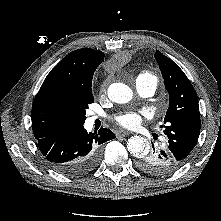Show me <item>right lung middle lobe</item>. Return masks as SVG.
Listing matches in <instances>:
<instances>
[{"mask_svg":"<svg viewBox=\"0 0 221 221\" xmlns=\"http://www.w3.org/2000/svg\"><path fill=\"white\" fill-rule=\"evenodd\" d=\"M92 78L93 74L86 79L78 94L64 105L66 112L73 118L77 127L84 124L86 119V109L88 108L89 104L94 102L91 89Z\"/></svg>","mask_w":221,"mask_h":221,"instance_id":"obj_1","label":"right lung middle lobe"}]
</instances>
